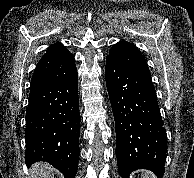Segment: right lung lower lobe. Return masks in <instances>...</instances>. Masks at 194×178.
I'll list each match as a JSON object with an SVG mask.
<instances>
[{"label":"right lung lower lobe","instance_id":"obj_1","mask_svg":"<svg viewBox=\"0 0 194 178\" xmlns=\"http://www.w3.org/2000/svg\"><path fill=\"white\" fill-rule=\"evenodd\" d=\"M25 118L26 165L45 161L74 178L80 154L77 70L64 80L30 88Z\"/></svg>","mask_w":194,"mask_h":178}]
</instances>
